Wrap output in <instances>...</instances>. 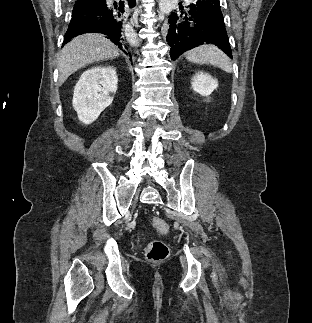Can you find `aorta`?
Wrapping results in <instances>:
<instances>
[{
    "label": "aorta",
    "mask_w": 312,
    "mask_h": 323,
    "mask_svg": "<svg viewBox=\"0 0 312 323\" xmlns=\"http://www.w3.org/2000/svg\"><path fill=\"white\" fill-rule=\"evenodd\" d=\"M127 42H129L130 46H139V38L135 32H129V34H126Z\"/></svg>",
    "instance_id": "762f6f07"
}]
</instances>
